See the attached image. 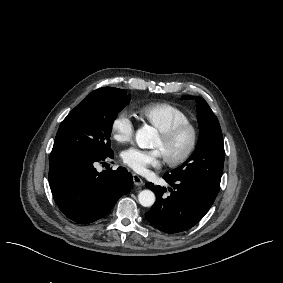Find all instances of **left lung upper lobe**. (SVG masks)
<instances>
[{
    "instance_id": "5c2ea615",
    "label": "left lung upper lobe",
    "mask_w": 283,
    "mask_h": 283,
    "mask_svg": "<svg viewBox=\"0 0 283 283\" xmlns=\"http://www.w3.org/2000/svg\"><path fill=\"white\" fill-rule=\"evenodd\" d=\"M182 99L197 102L199 141L194 153L180 167L166 174L173 180L196 181L217 195L224 164L223 136L218 119L201 97L183 96Z\"/></svg>"
}]
</instances>
